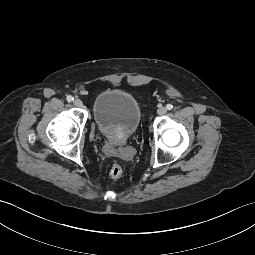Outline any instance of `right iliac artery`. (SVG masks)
Instances as JSON below:
<instances>
[{"mask_svg":"<svg viewBox=\"0 0 255 255\" xmlns=\"http://www.w3.org/2000/svg\"><path fill=\"white\" fill-rule=\"evenodd\" d=\"M67 101L68 102H72L74 100V97H72L71 95L67 96Z\"/></svg>","mask_w":255,"mask_h":255,"instance_id":"right-iliac-artery-1","label":"right iliac artery"}]
</instances>
